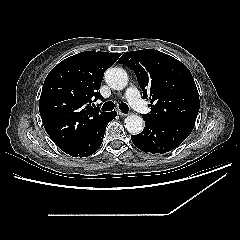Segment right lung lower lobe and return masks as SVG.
Here are the masks:
<instances>
[{"mask_svg":"<svg viewBox=\"0 0 240 240\" xmlns=\"http://www.w3.org/2000/svg\"><path fill=\"white\" fill-rule=\"evenodd\" d=\"M116 115L117 113L115 111L108 112L103 121L96 128L93 135L74 146L61 150L73 157H87L93 154L102 144L107 124L113 120Z\"/></svg>","mask_w":240,"mask_h":240,"instance_id":"98d812e1","label":"right lung lower lobe"}]
</instances>
